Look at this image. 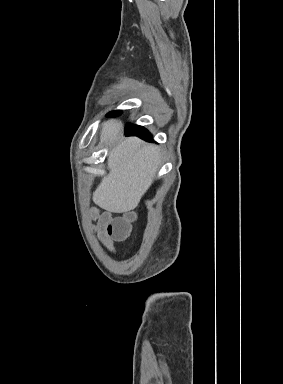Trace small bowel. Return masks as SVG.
I'll use <instances>...</instances> for the list:
<instances>
[{
	"mask_svg": "<svg viewBox=\"0 0 283 384\" xmlns=\"http://www.w3.org/2000/svg\"><path fill=\"white\" fill-rule=\"evenodd\" d=\"M91 218L96 220V223L92 226L93 231L105 247L109 251H113L114 238L109 233V226L114 220L113 216L108 212L100 213L99 210L93 209L91 211Z\"/></svg>",
	"mask_w": 283,
	"mask_h": 384,
	"instance_id": "c3829d8e",
	"label": "small bowel"
}]
</instances>
